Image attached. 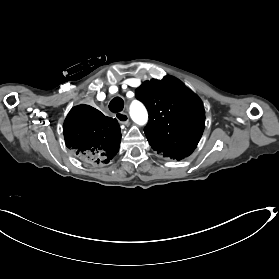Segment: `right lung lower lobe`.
<instances>
[{
    "instance_id": "right-lung-lower-lobe-1",
    "label": "right lung lower lobe",
    "mask_w": 279,
    "mask_h": 279,
    "mask_svg": "<svg viewBox=\"0 0 279 279\" xmlns=\"http://www.w3.org/2000/svg\"><path fill=\"white\" fill-rule=\"evenodd\" d=\"M63 134L68 149L87 165L108 163L121 142L118 121L88 105L76 106L69 112Z\"/></svg>"
}]
</instances>
